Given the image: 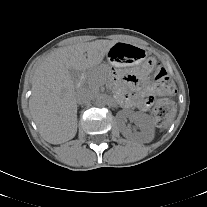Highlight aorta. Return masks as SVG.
Here are the masks:
<instances>
[{"label": "aorta", "instance_id": "aorta-1", "mask_svg": "<svg viewBox=\"0 0 207 207\" xmlns=\"http://www.w3.org/2000/svg\"><path fill=\"white\" fill-rule=\"evenodd\" d=\"M108 98L106 95L101 94L99 96H97L96 100H95V104L97 106L103 107L107 104Z\"/></svg>", "mask_w": 207, "mask_h": 207}]
</instances>
